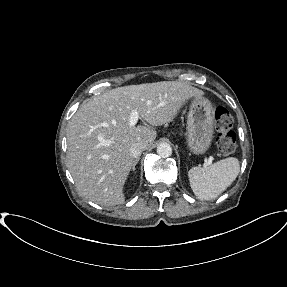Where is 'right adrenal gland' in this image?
Wrapping results in <instances>:
<instances>
[{"label":"right adrenal gland","instance_id":"obj_1","mask_svg":"<svg viewBox=\"0 0 287 287\" xmlns=\"http://www.w3.org/2000/svg\"><path fill=\"white\" fill-rule=\"evenodd\" d=\"M138 161H139V158H137V159H135V160L133 161V163H132V165H131V169H132L133 171H135V166H136V164L138 163Z\"/></svg>","mask_w":287,"mask_h":287}]
</instances>
